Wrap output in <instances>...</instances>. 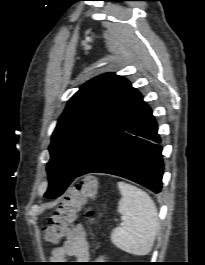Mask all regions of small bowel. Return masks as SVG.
Returning a JSON list of instances; mask_svg holds the SVG:
<instances>
[{
  "label": "small bowel",
  "instance_id": "small-bowel-1",
  "mask_svg": "<svg viewBox=\"0 0 205 265\" xmlns=\"http://www.w3.org/2000/svg\"><path fill=\"white\" fill-rule=\"evenodd\" d=\"M68 257L75 258L78 263H86L90 259V244L83 225L78 224L67 234L62 246L51 251V260L65 261Z\"/></svg>",
  "mask_w": 205,
  "mask_h": 265
}]
</instances>
